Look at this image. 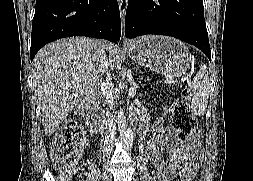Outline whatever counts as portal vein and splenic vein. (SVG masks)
<instances>
[{"label": "portal vein and splenic vein", "instance_id": "portal-vein-and-splenic-vein-1", "mask_svg": "<svg viewBox=\"0 0 253 181\" xmlns=\"http://www.w3.org/2000/svg\"><path fill=\"white\" fill-rule=\"evenodd\" d=\"M175 78L174 77H170V80L168 82L173 81Z\"/></svg>", "mask_w": 253, "mask_h": 181}]
</instances>
